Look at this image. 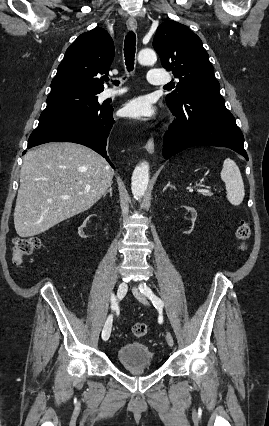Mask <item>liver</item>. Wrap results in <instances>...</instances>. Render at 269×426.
Segmentation results:
<instances>
[{"label": "liver", "mask_w": 269, "mask_h": 426, "mask_svg": "<svg viewBox=\"0 0 269 426\" xmlns=\"http://www.w3.org/2000/svg\"><path fill=\"white\" fill-rule=\"evenodd\" d=\"M113 176L102 156L77 143L51 142L28 151L14 210L17 234H41L88 210L107 191Z\"/></svg>", "instance_id": "1"}]
</instances>
